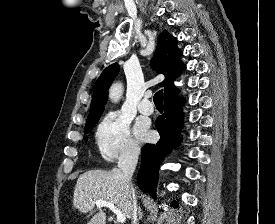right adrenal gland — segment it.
<instances>
[{"mask_svg":"<svg viewBox=\"0 0 275 224\" xmlns=\"http://www.w3.org/2000/svg\"><path fill=\"white\" fill-rule=\"evenodd\" d=\"M138 219L141 220L142 217H143V213H142V210H141V207L138 208Z\"/></svg>","mask_w":275,"mask_h":224,"instance_id":"2a0ac1e0","label":"right adrenal gland"}]
</instances>
